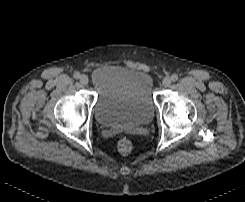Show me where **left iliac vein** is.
<instances>
[{
    "mask_svg": "<svg viewBox=\"0 0 245 202\" xmlns=\"http://www.w3.org/2000/svg\"><path fill=\"white\" fill-rule=\"evenodd\" d=\"M172 80L170 77H165L162 81L164 87H168L171 84Z\"/></svg>",
    "mask_w": 245,
    "mask_h": 202,
    "instance_id": "left-iliac-vein-1",
    "label": "left iliac vein"
}]
</instances>
